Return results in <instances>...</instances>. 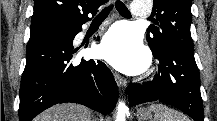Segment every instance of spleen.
Returning a JSON list of instances; mask_svg holds the SVG:
<instances>
[{"mask_svg":"<svg viewBox=\"0 0 217 121\" xmlns=\"http://www.w3.org/2000/svg\"><path fill=\"white\" fill-rule=\"evenodd\" d=\"M149 109L155 113L156 121H189L182 113L170 109L163 104H153Z\"/></svg>","mask_w":217,"mask_h":121,"instance_id":"spleen-1","label":"spleen"}]
</instances>
